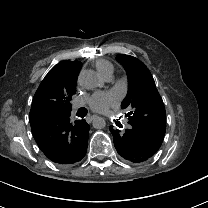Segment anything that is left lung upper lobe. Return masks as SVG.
<instances>
[{
    "label": "left lung upper lobe",
    "mask_w": 208,
    "mask_h": 208,
    "mask_svg": "<svg viewBox=\"0 0 208 208\" xmlns=\"http://www.w3.org/2000/svg\"><path fill=\"white\" fill-rule=\"evenodd\" d=\"M116 59L128 77V93L121 104L123 109H130L128 120L164 136L166 112L150 71L133 56L120 54Z\"/></svg>",
    "instance_id": "left-lung-upper-lobe-1"
}]
</instances>
